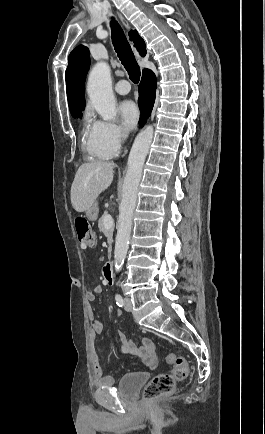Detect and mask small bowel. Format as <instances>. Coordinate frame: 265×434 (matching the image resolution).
<instances>
[{
	"label": "small bowel",
	"instance_id": "obj_1",
	"mask_svg": "<svg viewBox=\"0 0 265 434\" xmlns=\"http://www.w3.org/2000/svg\"><path fill=\"white\" fill-rule=\"evenodd\" d=\"M103 291L101 285H96L91 291H87L85 298L89 304L95 301L96 295ZM116 316L121 318L122 310H116ZM89 317L92 320V335L93 337L100 335L103 331V324L100 320L94 318V313L90 309ZM121 349L125 353H133L141 357L150 368H155L157 365V358L155 352V345L149 337H142L138 344L134 339L128 338L125 334L120 335ZM93 373L98 378V385L100 387H110L111 380L107 378L102 371V366L98 355H94L92 359Z\"/></svg>",
	"mask_w": 265,
	"mask_h": 434
}]
</instances>
